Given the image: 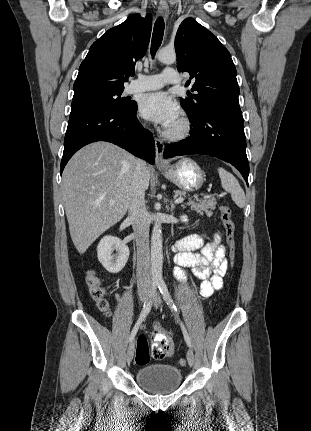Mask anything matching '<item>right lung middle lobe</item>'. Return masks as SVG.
<instances>
[{"label":"right lung middle lobe","instance_id":"1","mask_svg":"<svg viewBox=\"0 0 311 431\" xmlns=\"http://www.w3.org/2000/svg\"><path fill=\"white\" fill-rule=\"evenodd\" d=\"M123 91H86L75 93L71 111L85 107H103L123 112H131L137 107L135 101L121 97Z\"/></svg>","mask_w":311,"mask_h":431}]
</instances>
